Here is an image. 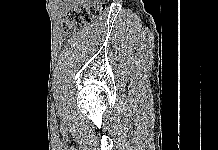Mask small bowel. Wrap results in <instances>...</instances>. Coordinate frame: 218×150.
<instances>
[{"label":"small bowel","instance_id":"small-bowel-1","mask_svg":"<svg viewBox=\"0 0 218 150\" xmlns=\"http://www.w3.org/2000/svg\"><path fill=\"white\" fill-rule=\"evenodd\" d=\"M62 1V9L64 11L75 9L78 6L85 7L91 5L94 0H61Z\"/></svg>","mask_w":218,"mask_h":150}]
</instances>
